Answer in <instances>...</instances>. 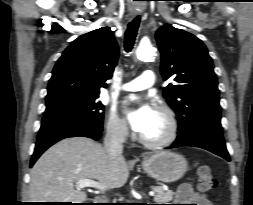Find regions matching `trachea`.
<instances>
[{"label": "trachea", "instance_id": "1", "mask_svg": "<svg viewBox=\"0 0 253 205\" xmlns=\"http://www.w3.org/2000/svg\"><path fill=\"white\" fill-rule=\"evenodd\" d=\"M140 24V16L135 17L129 24L125 32L124 48L126 52H130L133 49L138 27Z\"/></svg>", "mask_w": 253, "mask_h": 205}]
</instances>
